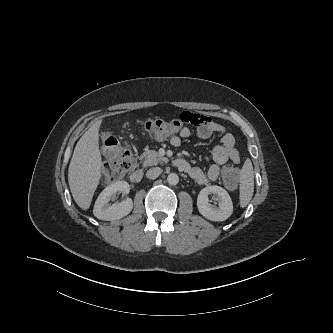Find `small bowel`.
<instances>
[{
  "mask_svg": "<svg viewBox=\"0 0 333 333\" xmlns=\"http://www.w3.org/2000/svg\"><path fill=\"white\" fill-rule=\"evenodd\" d=\"M180 120L189 124L197 126L195 136L200 139L210 138L214 134L221 136V143L213 148L212 155L214 163L206 170H202L198 166H190L184 171L198 183L206 184L216 181L220 174L222 167L231 161L234 164L240 163V155L235 147L234 137L228 133L224 126L214 122L213 120L200 116L191 112H184L180 115ZM193 135V132L187 127H181L177 135L170 139V143L174 147H179L182 142V138H189Z\"/></svg>",
  "mask_w": 333,
  "mask_h": 333,
  "instance_id": "obj_1",
  "label": "small bowel"
}]
</instances>
